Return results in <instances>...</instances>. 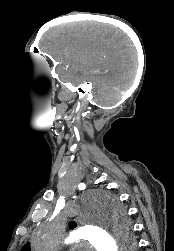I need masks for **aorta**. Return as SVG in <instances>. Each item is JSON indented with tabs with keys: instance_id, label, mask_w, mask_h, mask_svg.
<instances>
[{
	"instance_id": "obj_1",
	"label": "aorta",
	"mask_w": 174,
	"mask_h": 251,
	"mask_svg": "<svg viewBox=\"0 0 174 251\" xmlns=\"http://www.w3.org/2000/svg\"><path fill=\"white\" fill-rule=\"evenodd\" d=\"M110 231V233H109ZM88 241L97 251H130L131 235L114 218L101 213L98 203L93 201L85 214V224L72 232L66 243ZM61 243V232L53 225L42 228L36 244L45 251L54 250Z\"/></svg>"
}]
</instances>
